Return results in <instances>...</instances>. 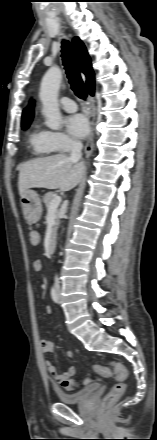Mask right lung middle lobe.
I'll use <instances>...</instances> for the list:
<instances>
[{
    "mask_svg": "<svg viewBox=\"0 0 157 440\" xmlns=\"http://www.w3.org/2000/svg\"><path fill=\"white\" fill-rule=\"evenodd\" d=\"M30 122L22 123V128L27 129L29 127Z\"/></svg>",
    "mask_w": 157,
    "mask_h": 440,
    "instance_id": "dd1d6c3e",
    "label": "right lung middle lobe"
}]
</instances>
